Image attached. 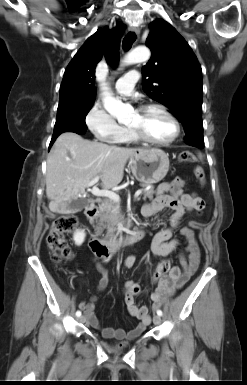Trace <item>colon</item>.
<instances>
[{
	"mask_svg": "<svg viewBox=\"0 0 247 385\" xmlns=\"http://www.w3.org/2000/svg\"><path fill=\"white\" fill-rule=\"evenodd\" d=\"M179 161L182 163H194L196 156L191 151H183L179 155ZM194 174L201 184L205 183V173L199 166L194 168ZM78 225V219L74 215L58 217L52 224V227L47 236V244L52 251V259L57 262H65L72 258V251L67 244L66 234L73 232ZM169 269V264L163 262L159 264L157 272L166 273ZM136 291V288L133 287Z\"/></svg>",
	"mask_w": 247,
	"mask_h": 385,
	"instance_id": "obj_1",
	"label": "colon"
}]
</instances>
